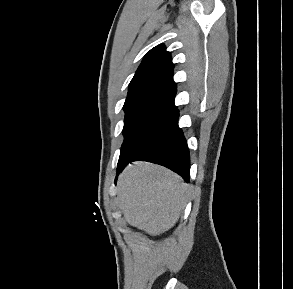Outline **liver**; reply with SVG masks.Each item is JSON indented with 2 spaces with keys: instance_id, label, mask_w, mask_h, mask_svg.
<instances>
[{
  "instance_id": "liver-1",
  "label": "liver",
  "mask_w": 293,
  "mask_h": 289,
  "mask_svg": "<svg viewBox=\"0 0 293 289\" xmlns=\"http://www.w3.org/2000/svg\"><path fill=\"white\" fill-rule=\"evenodd\" d=\"M118 199L128 224L151 236L171 229L188 199V185L172 171L146 162L129 165L119 176Z\"/></svg>"
}]
</instances>
